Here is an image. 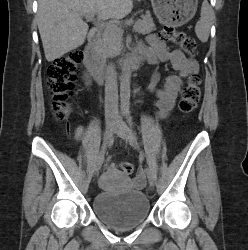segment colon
I'll return each instance as SVG.
<instances>
[{
  "mask_svg": "<svg viewBox=\"0 0 248 250\" xmlns=\"http://www.w3.org/2000/svg\"><path fill=\"white\" fill-rule=\"evenodd\" d=\"M161 36L164 40L179 45L185 52L195 55L197 43L193 37L178 30L172 25L164 26ZM82 52L71 50L65 56L58 58L47 69L48 87L52 98V109L58 120H65L71 109V97L75 81L80 72ZM200 75L193 73L189 76L181 92L180 111L188 115L192 113L200 100ZM120 170L125 175H132L134 168L129 162L119 163Z\"/></svg>",
  "mask_w": 248,
  "mask_h": 250,
  "instance_id": "5ec220e1",
  "label": "colon"
}]
</instances>
